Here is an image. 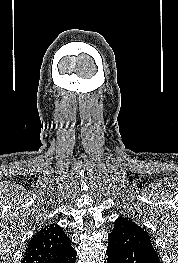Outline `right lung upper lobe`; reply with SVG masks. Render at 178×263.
Segmentation results:
<instances>
[{"mask_svg":"<svg viewBox=\"0 0 178 263\" xmlns=\"http://www.w3.org/2000/svg\"><path fill=\"white\" fill-rule=\"evenodd\" d=\"M71 242L58 225H47L31 238L21 263H56L74 251Z\"/></svg>","mask_w":178,"mask_h":263,"instance_id":"right-lung-upper-lobe-1","label":"right lung upper lobe"}]
</instances>
